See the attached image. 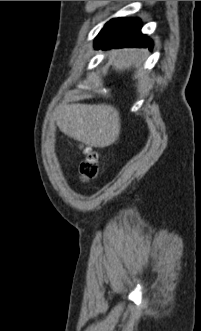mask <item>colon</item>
Segmentation results:
<instances>
[{"mask_svg":"<svg viewBox=\"0 0 201 331\" xmlns=\"http://www.w3.org/2000/svg\"><path fill=\"white\" fill-rule=\"evenodd\" d=\"M99 171V157L98 154L87 150L86 157L80 165V175L83 181L93 179Z\"/></svg>","mask_w":201,"mask_h":331,"instance_id":"obj_1","label":"colon"}]
</instances>
